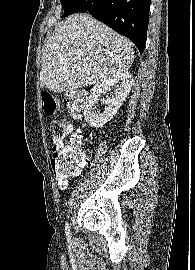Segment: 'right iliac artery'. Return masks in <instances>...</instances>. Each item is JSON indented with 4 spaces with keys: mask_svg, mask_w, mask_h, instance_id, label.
Listing matches in <instances>:
<instances>
[{
    "mask_svg": "<svg viewBox=\"0 0 195 270\" xmlns=\"http://www.w3.org/2000/svg\"><path fill=\"white\" fill-rule=\"evenodd\" d=\"M65 233H66L67 239L70 240L71 239V233H70V228L68 226V223H66V226H65Z\"/></svg>",
    "mask_w": 195,
    "mask_h": 270,
    "instance_id": "1",
    "label": "right iliac artery"
}]
</instances>
